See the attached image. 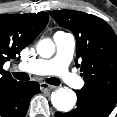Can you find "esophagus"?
I'll return each instance as SVG.
<instances>
[{
  "label": "esophagus",
  "instance_id": "esophagus-1",
  "mask_svg": "<svg viewBox=\"0 0 117 117\" xmlns=\"http://www.w3.org/2000/svg\"><path fill=\"white\" fill-rule=\"evenodd\" d=\"M54 88H55V86L49 85L47 83H44V82L40 83V89H41L42 92L43 91H51Z\"/></svg>",
  "mask_w": 117,
  "mask_h": 117
}]
</instances>
